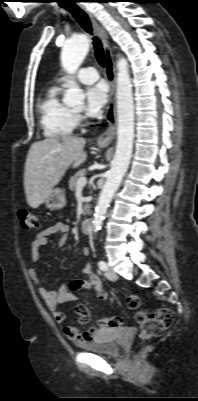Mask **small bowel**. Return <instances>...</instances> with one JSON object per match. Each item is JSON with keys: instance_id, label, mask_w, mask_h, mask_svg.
Listing matches in <instances>:
<instances>
[{"instance_id": "obj_1", "label": "small bowel", "mask_w": 198, "mask_h": 401, "mask_svg": "<svg viewBox=\"0 0 198 401\" xmlns=\"http://www.w3.org/2000/svg\"><path fill=\"white\" fill-rule=\"evenodd\" d=\"M69 232L70 227L65 222L53 223L40 231L31 242L30 253L32 262L36 263L39 260L40 250L47 244V240L50 236L59 234L60 237L57 241V245L63 246L67 242ZM82 255L84 256V258L89 259L90 249L88 247H84L82 249ZM28 273L32 281L39 285L40 278L35 268L30 267L28 269ZM81 274L85 276V279H77L72 281L71 283H65L57 291L47 290L43 286L38 287L39 295L44 300L47 307L52 311L55 321L59 324H63L66 321V314L58 309V305L64 302L77 300L78 293L81 290L91 288L94 289L96 293V298L100 301H104L108 298L107 292L102 287L101 280L96 274L93 273L92 266L89 261L82 268ZM72 283L75 284L74 289L70 288V285ZM78 320L81 324H86L89 321L88 319L86 323H82L80 321L79 315ZM103 329V327L94 326L88 328L86 331L81 332L75 326L65 325L63 327V334L69 340L77 343L78 345H84L85 343L94 341L96 338H98Z\"/></svg>"}]
</instances>
